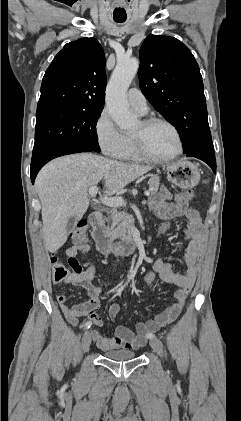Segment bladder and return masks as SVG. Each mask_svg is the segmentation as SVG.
<instances>
[{"label": "bladder", "instance_id": "obj_1", "mask_svg": "<svg viewBox=\"0 0 241 421\" xmlns=\"http://www.w3.org/2000/svg\"><path fill=\"white\" fill-rule=\"evenodd\" d=\"M103 356L114 361H126L134 359L136 353L129 350H113L103 353Z\"/></svg>", "mask_w": 241, "mask_h": 421}]
</instances>
